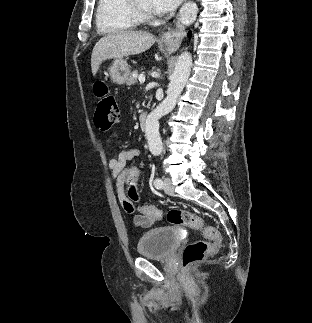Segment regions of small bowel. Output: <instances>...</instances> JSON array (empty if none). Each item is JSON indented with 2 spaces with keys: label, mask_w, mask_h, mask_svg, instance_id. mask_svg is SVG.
Returning a JSON list of instances; mask_svg holds the SVG:
<instances>
[{
  "label": "small bowel",
  "mask_w": 312,
  "mask_h": 323,
  "mask_svg": "<svg viewBox=\"0 0 312 323\" xmlns=\"http://www.w3.org/2000/svg\"><path fill=\"white\" fill-rule=\"evenodd\" d=\"M124 158H135L139 159L140 162L138 165H134L135 167H140V169L143 167L142 162V151L139 148H127L119 152V154L115 157H112L108 161V167L111 171L112 177L115 179L116 184V191L119 200L120 199H126L125 194V184L123 181V178L125 174H122L121 169L122 167H128L129 165H124L123 160ZM159 217L157 214L156 216H134V223L135 225L143 228H149L153 224H155Z\"/></svg>",
  "instance_id": "1"
}]
</instances>
